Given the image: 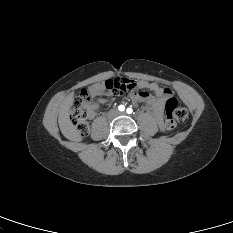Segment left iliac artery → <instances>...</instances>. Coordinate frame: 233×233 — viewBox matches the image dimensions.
Listing matches in <instances>:
<instances>
[{
  "instance_id": "obj_1",
  "label": "left iliac artery",
  "mask_w": 233,
  "mask_h": 233,
  "mask_svg": "<svg viewBox=\"0 0 233 233\" xmlns=\"http://www.w3.org/2000/svg\"><path fill=\"white\" fill-rule=\"evenodd\" d=\"M126 112H127L128 114H131V113L133 112V110H132V108H127Z\"/></svg>"
}]
</instances>
